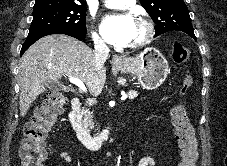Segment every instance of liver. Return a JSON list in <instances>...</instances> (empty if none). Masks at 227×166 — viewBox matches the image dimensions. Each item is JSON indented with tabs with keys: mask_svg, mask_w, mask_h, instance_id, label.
Here are the masks:
<instances>
[{
	"mask_svg": "<svg viewBox=\"0 0 227 166\" xmlns=\"http://www.w3.org/2000/svg\"><path fill=\"white\" fill-rule=\"evenodd\" d=\"M62 76L80 79L92 95H98L106 81V69L97 71L94 51L66 35H49L34 43L23 55L19 69L20 115L27 114L46 84Z\"/></svg>",
	"mask_w": 227,
	"mask_h": 166,
	"instance_id": "obj_1",
	"label": "liver"
}]
</instances>
